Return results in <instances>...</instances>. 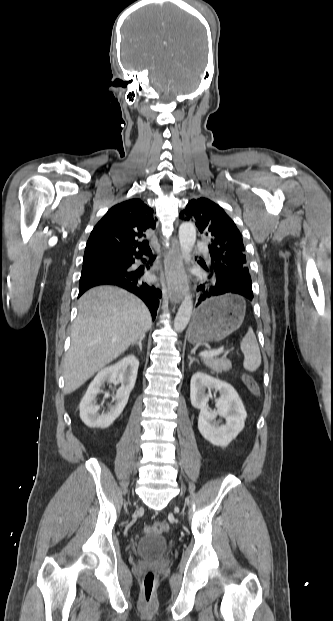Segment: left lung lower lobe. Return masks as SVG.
Here are the masks:
<instances>
[{"label": "left lung lower lobe", "mask_w": 333, "mask_h": 621, "mask_svg": "<svg viewBox=\"0 0 333 621\" xmlns=\"http://www.w3.org/2000/svg\"><path fill=\"white\" fill-rule=\"evenodd\" d=\"M208 275L197 287L198 304L213 296L225 293L242 295L249 300L253 299L252 281L249 272L245 270H233L220 262L202 265Z\"/></svg>", "instance_id": "obj_1"}]
</instances>
